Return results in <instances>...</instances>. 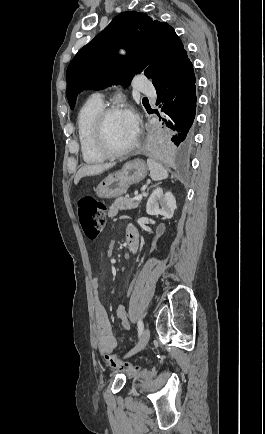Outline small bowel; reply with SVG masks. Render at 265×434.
Masks as SVG:
<instances>
[{
    "label": "small bowel",
    "mask_w": 265,
    "mask_h": 434,
    "mask_svg": "<svg viewBox=\"0 0 265 434\" xmlns=\"http://www.w3.org/2000/svg\"><path fill=\"white\" fill-rule=\"evenodd\" d=\"M126 239L128 244L132 240H136L139 245V235L133 225H128L126 228ZM91 288L95 295L94 321H95V342L101 354L113 353L117 341L112 332V326L104 305L99 297L100 282L98 279L91 281ZM116 315L121 321L122 326L129 330V322L127 317L126 307L120 304L116 309Z\"/></svg>",
    "instance_id": "c3829d8e"
}]
</instances>
